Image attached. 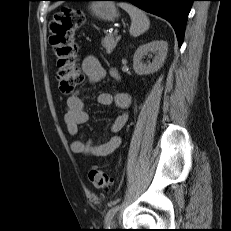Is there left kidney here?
I'll return each mask as SVG.
<instances>
[{
  "label": "left kidney",
  "instance_id": "1",
  "mask_svg": "<svg viewBox=\"0 0 231 231\" xmlns=\"http://www.w3.org/2000/svg\"><path fill=\"white\" fill-rule=\"evenodd\" d=\"M168 51V44L163 40H156L147 44L139 46L133 57V68L138 75L150 74L158 71L166 58ZM149 52H155L157 55L152 62L144 63L142 59L148 55Z\"/></svg>",
  "mask_w": 231,
  "mask_h": 231
}]
</instances>
